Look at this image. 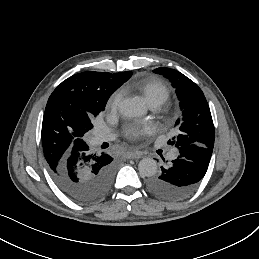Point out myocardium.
Segmentation results:
<instances>
[{"label":"myocardium","mask_w":259,"mask_h":259,"mask_svg":"<svg viewBox=\"0 0 259 259\" xmlns=\"http://www.w3.org/2000/svg\"><path fill=\"white\" fill-rule=\"evenodd\" d=\"M171 120V115L166 116V122H169Z\"/></svg>","instance_id":"1"}]
</instances>
